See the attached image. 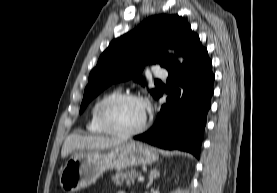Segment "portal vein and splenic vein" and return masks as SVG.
Segmentation results:
<instances>
[{
	"label": "portal vein and splenic vein",
	"mask_w": 277,
	"mask_h": 193,
	"mask_svg": "<svg viewBox=\"0 0 277 193\" xmlns=\"http://www.w3.org/2000/svg\"><path fill=\"white\" fill-rule=\"evenodd\" d=\"M138 181H139V182H143V181H144V177H143V176H139V177H138Z\"/></svg>",
	"instance_id": "obj_1"
}]
</instances>
